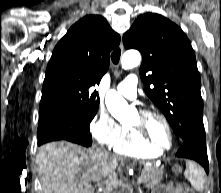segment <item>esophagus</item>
I'll use <instances>...</instances> for the list:
<instances>
[{"label": "esophagus", "instance_id": "1", "mask_svg": "<svg viewBox=\"0 0 221 193\" xmlns=\"http://www.w3.org/2000/svg\"><path fill=\"white\" fill-rule=\"evenodd\" d=\"M120 48H121V50H123V49H124V45H123L122 40H121V42H120Z\"/></svg>", "mask_w": 221, "mask_h": 193}]
</instances>
